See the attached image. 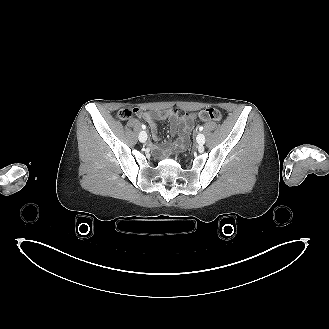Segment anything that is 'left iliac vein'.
<instances>
[{"label":"left iliac vein","mask_w":329,"mask_h":329,"mask_svg":"<svg viewBox=\"0 0 329 329\" xmlns=\"http://www.w3.org/2000/svg\"><path fill=\"white\" fill-rule=\"evenodd\" d=\"M196 141L199 145H203L205 143V136L202 133L197 135Z\"/></svg>","instance_id":"1"}]
</instances>
